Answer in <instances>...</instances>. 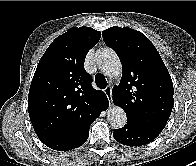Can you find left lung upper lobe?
<instances>
[{"instance_id":"obj_1","label":"left lung upper lobe","mask_w":196,"mask_h":166,"mask_svg":"<svg viewBox=\"0 0 196 166\" xmlns=\"http://www.w3.org/2000/svg\"><path fill=\"white\" fill-rule=\"evenodd\" d=\"M102 36L122 63L121 81L112 89L114 104L125 111L127 121L161 132L172 111L174 88L157 49L128 27H111Z\"/></svg>"}]
</instances>
